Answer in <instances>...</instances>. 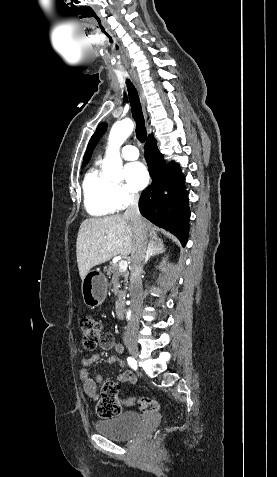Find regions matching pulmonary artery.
I'll use <instances>...</instances> for the list:
<instances>
[{
  "mask_svg": "<svg viewBox=\"0 0 277 477\" xmlns=\"http://www.w3.org/2000/svg\"><path fill=\"white\" fill-rule=\"evenodd\" d=\"M122 156L127 160H135L139 157V151L135 146L126 145L121 150Z\"/></svg>",
  "mask_w": 277,
  "mask_h": 477,
  "instance_id": "1",
  "label": "pulmonary artery"
}]
</instances>
